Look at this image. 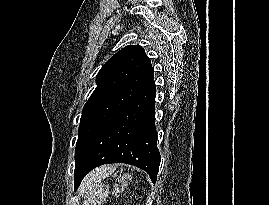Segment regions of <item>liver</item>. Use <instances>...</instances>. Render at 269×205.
Listing matches in <instances>:
<instances>
[{"instance_id":"liver-1","label":"liver","mask_w":269,"mask_h":205,"mask_svg":"<svg viewBox=\"0 0 269 205\" xmlns=\"http://www.w3.org/2000/svg\"><path fill=\"white\" fill-rule=\"evenodd\" d=\"M112 171V168L100 167L97 170L91 172L85 180V187L87 189H92L96 186L97 182L101 181L109 172Z\"/></svg>"}]
</instances>
